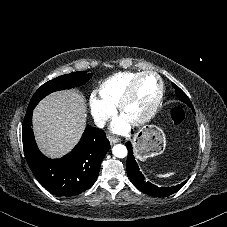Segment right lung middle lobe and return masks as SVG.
Here are the masks:
<instances>
[{
    "instance_id": "right-lung-middle-lobe-1",
    "label": "right lung middle lobe",
    "mask_w": 227,
    "mask_h": 227,
    "mask_svg": "<svg viewBox=\"0 0 227 227\" xmlns=\"http://www.w3.org/2000/svg\"><path fill=\"white\" fill-rule=\"evenodd\" d=\"M91 76L92 74H87L86 72H73L46 82L35 92L31 98L28 109H34L41 99L54 91L82 86Z\"/></svg>"
}]
</instances>
